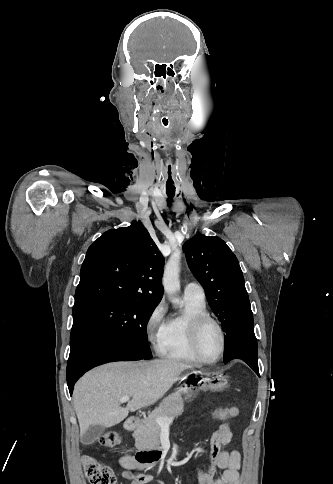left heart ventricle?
<instances>
[{
  "mask_svg": "<svg viewBox=\"0 0 333 484\" xmlns=\"http://www.w3.org/2000/svg\"><path fill=\"white\" fill-rule=\"evenodd\" d=\"M220 335L213 324H207L200 336V349L207 358H214L220 350Z\"/></svg>",
  "mask_w": 333,
  "mask_h": 484,
  "instance_id": "1",
  "label": "left heart ventricle"
}]
</instances>
